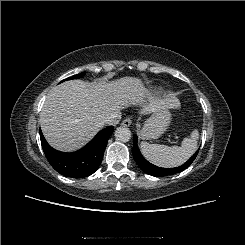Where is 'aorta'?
I'll return each mask as SVG.
<instances>
[{"instance_id":"762f6f07","label":"aorta","mask_w":245,"mask_h":245,"mask_svg":"<svg viewBox=\"0 0 245 245\" xmlns=\"http://www.w3.org/2000/svg\"><path fill=\"white\" fill-rule=\"evenodd\" d=\"M115 138L121 142H128L131 138V131L126 127H119L115 131Z\"/></svg>"}]
</instances>
